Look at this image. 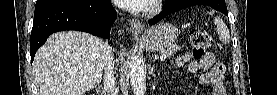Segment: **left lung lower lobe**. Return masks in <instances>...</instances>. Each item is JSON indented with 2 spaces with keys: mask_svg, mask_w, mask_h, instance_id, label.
<instances>
[{
  "mask_svg": "<svg viewBox=\"0 0 277 95\" xmlns=\"http://www.w3.org/2000/svg\"><path fill=\"white\" fill-rule=\"evenodd\" d=\"M194 5H208L224 13L225 15H228L224 0H174L172 3L164 6L162 13L149 20V24L154 25L171 13Z\"/></svg>",
  "mask_w": 277,
  "mask_h": 95,
  "instance_id": "obj_1",
  "label": "left lung lower lobe"
}]
</instances>
